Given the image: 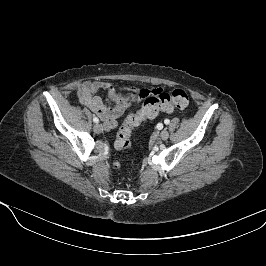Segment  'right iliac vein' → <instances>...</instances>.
Returning <instances> with one entry per match:
<instances>
[{
    "mask_svg": "<svg viewBox=\"0 0 266 266\" xmlns=\"http://www.w3.org/2000/svg\"><path fill=\"white\" fill-rule=\"evenodd\" d=\"M93 129H94V132L97 133V134H99V133H101L103 131L102 125L99 124V123H96L94 125Z\"/></svg>",
    "mask_w": 266,
    "mask_h": 266,
    "instance_id": "obj_1",
    "label": "right iliac vein"
}]
</instances>
